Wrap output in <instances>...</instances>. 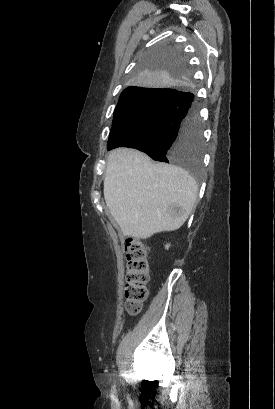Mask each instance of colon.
I'll return each mask as SVG.
<instances>
[{
	"instance_id": "5ec220e1",
	"label": "colon",
	"mask_w": 275,
	"mask_h": 409,
	"mask_svg": "<svg viewBox=\"0 0 275 409\" xmlns=\"http://www.w3.org/2000/svg\"><path fill=\"white\" fill-rule=\"evenodd\" d=\"M128 261L124 295L128 314L137 315L148 296L149 247L141 240L129 237L124 244Z\"/></svg>"
}]
</instances>
